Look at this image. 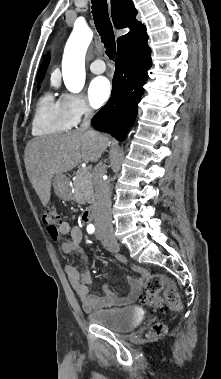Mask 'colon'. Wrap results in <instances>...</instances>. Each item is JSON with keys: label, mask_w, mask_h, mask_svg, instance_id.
<instances>
[{"label": "colon", "mask_w": 221, "mask_h": 379, "mask_svg": "<svg viewBox=\"0 0 221 379\" xmlns=\"http://www.w3.org/2000/svg\"><path fill=\"white\" fill-rule=\"evenodd\" d=\"M41 221L47 230L55 233L61 223L60 214L54 207H48L41 215ZM146 295L143 297L145 304L160 308L177 311L181 308L182 301L176 284L161 274H151L145 282ZM166 333V327L162 323H156L150 329V337H159Z\"/></svg>", "instance_id": "obj_1"}]
</instances>
